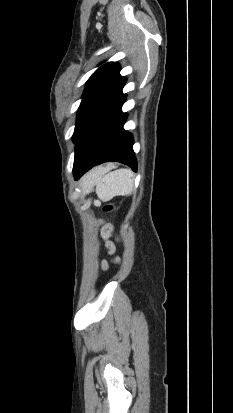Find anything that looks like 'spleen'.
<instances>
[{
    "mask_svg": "<svg viewBox=\"0 0 233 413\" xmlns=\"http://www.w3.org/2000/svg\"><path fill=\"white\" fill-rule=\"evenodd\" d=\"M129 169H118L107 174L97 172L92 181L100 200L109 201L115 196L130 195L133 191L134 177Z\"/></svg>",
    "mask_w": 233,
    "mask_h": 413,
    "instance_id": "1",
    "label": "spleen"
}]
</instances>
